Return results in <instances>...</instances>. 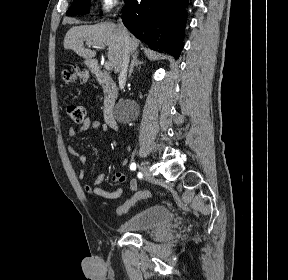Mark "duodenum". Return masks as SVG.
Returning <instances> with one entry per match:
<instances>
[{"mask_svg": "<svg viewBox=\"0 0 288 280\" xmlns=\"http://www.w3.org/2000/svg\"><path fill=\"white\" fill-rule=\"evenodd\" d=\"M91 72L104 90L103 115L107 125L112 129L118 128L115 117V105L118 97V88L113 79L104 73L96 61L90 62Z\"/></svg>", "mask_w": 288, "mask_h": 280, "instance_id": "obj_1", "label": "duodenum"}]
</instances>
